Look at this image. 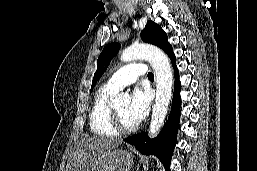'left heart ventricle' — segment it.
Instances as JSON below:
<instances>
[{
  "label": "left heart ventricle",
  "instance_id": "1",
  "mask_svg": "<svg viewBox=\"0 0 257 171\" xmlns=\"http://www.w3.org/2000/svg\"><path fill=\"white\" fill-rule=\"evenodd\" d=\"M115 108L118 111L124 124H126L128 126H132V125L136 124V122L130 117V115L128 113V108H129L128 103L119 104V105L115 106Z\"/></svg>",
  "mask_w": 257,
  "mask_h": 171
}]
</instances>
